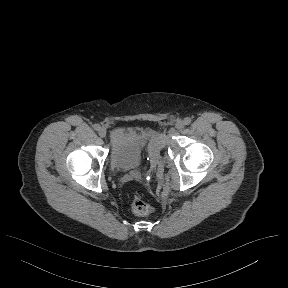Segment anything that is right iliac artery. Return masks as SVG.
<instances>
[{"instance_id": "obj_1", "label": "right iliac artery", "mask_w": 288, "mask_h": 288, "mask_svg": "<svg viewBox=\"0 0 288 288\" xmlns=\"http://www.w3.org/2000/svg\"><path fill=\"white\" fill-rule=\"evenodd\" d=\"M93 128L96 130V131H99L101 129V126L99 124H94Z\"/></svg>"}]
</instances>
